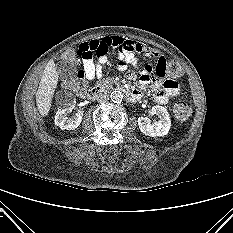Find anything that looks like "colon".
<instances>
[{"instance_id": "colon-1", "label": "colon", "mask_w": 233, "mask_h": 233, "mask_svg": "<svg viewBox=\"0 0 233 233\" xmlns=\"http://www.w3.org/2000/svg\"><path fill=\"white\" fill-rule=\"evenodd\" d=\"M156 72L159 76H165L167 74L172 78H179L182 75L183 70L177 61L164 60L159 62ZM65 87L74 92L76 95L83 96L86 89L85 74L83 72H79L74 79L65 83ZM173 113L176 120L183 122L190 117L191 108L187 103L179 101L174 105Z\"/></svg>"}]
</instances>
